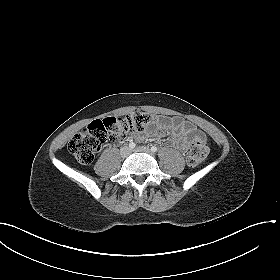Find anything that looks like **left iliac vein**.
<instances>
[{
	"label": "left iliac vein",
	"mask_w": 280,
	"mask_h": 280,
	"mask_svg": "<svg viewBox=\"0 0 280 280\" xmlns=\"http://www.w3.org/2000/svg\"><path fill=\"white\" fill-rule=\"evenodd\" d=\"M134 151L135 152H144V153H147L149 155H153L151 150L148 147H145V146H140V147L136 148Z\"/></svg>",
	"instance_id": "1"
}]
</instances>
